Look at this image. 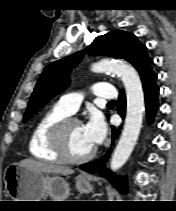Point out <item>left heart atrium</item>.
I'll return each mask as SVG.
<instances>
[{
	"label": "left heart atrium",
	"instance_id": "1",
	"mask_svg": "<svg viewBox=\"0 0 176 211\" xmlns=\"http://www.w3.org/2000/svg\"><path fill=\"white\" fill-rule=\"evenodd\" d=\"M84 134L88 142L94 147L103 142L107 129L103 119L98 116H92L89 121L83 125Z\"/></svg>",
	"mask_w": 176,
	"mask_h": 211
}]
</instances>
